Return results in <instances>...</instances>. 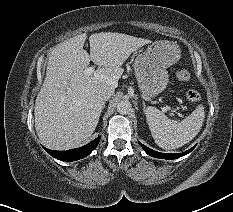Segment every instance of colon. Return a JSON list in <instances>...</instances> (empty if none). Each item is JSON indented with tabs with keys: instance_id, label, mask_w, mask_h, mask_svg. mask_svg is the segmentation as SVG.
<instances>
[{
	"instance_id": "5ec220e1",
	"label": "colon",
	"mask_w": 233,
	"mask_h": 212,
	"mask_svg": "<svg viewBox=\"0 0 233 212\" xmlns=\"http://www.w3.org/2000/svg\"><path fill=\"white\" fill-rule=\"evenodd\" d=\"M176 78L179 81L187 82L190 80L191 75L187 70H179L176 73ZM186 98L192 103H198L201 100L200 94L195 90H188L186 92Z\"/></svg>"
}]
</instances>
